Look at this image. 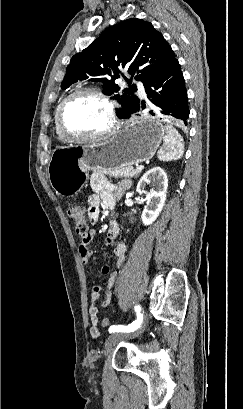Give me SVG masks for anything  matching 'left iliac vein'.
<instances>
[{"mask_svg":"<svg viewBox=\"0 0 243 409\" xmlns=\"http://www.w3.org/2000/svg\"><path fill=\"white\" fill-rule=\"evenodd\" d=\"M148 323L147 320V315H144V322L143 324L133 333H113L111 334L108 339L105 342V349L106 351H109L112 347L116 346L119 342L122 340L128 339V338H135L139 336L145 329L146 325Z\"/></svg>","mask_w":243,"mask_h":409,"instance_id":"4c4485c4","label":"left iliac vein"}]
</instances>
